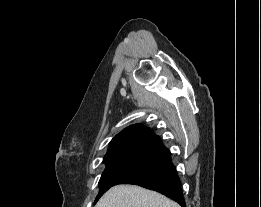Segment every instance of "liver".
Wrapping results in <instances>:
<instances>
[{"instance_id": "obj_1", "label": "liver", "mask_w": 261, "mask_h": 207, "mask_svg": "<svg viewBox=\"0 0 261 207\" xmlns=\"http://www.w3.org/2000/svg\"><path fill=\"white\" fill-rule=\"evenodd\" d=\"M96 207H180L164 195L135 185L109 189Z\"/></svg>"}]
</instances>
